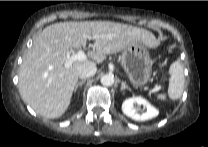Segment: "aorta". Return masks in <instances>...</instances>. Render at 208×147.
I'll list each match as a JSON object with an SVG mask.
<instances>
[{"label":"aorta","mask_w":208,"mask_h":147,"mask_svg":"<svg viewBox=\"0 0 208 147\" xmlns=\"http://www.w3.org/2000/svg\"><path fill=\"white\" fill-rule=\"evenodd\" d=\"M101 84L104 86H112L114 84V77L110 74H105L101 77Z\"/></svg>","instance_id":"aorta-1"}]
</instances>
